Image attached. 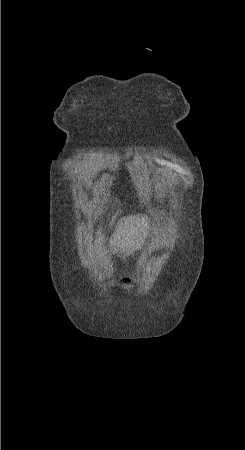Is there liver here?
I'll use <instances>...</instances> for the list:
<instances>
[{"instance_id":"1","label":"liver","mask_w":245,"mask_h":450,"mask_svg":"<svg viewBox=\"0 0 245 450\" xmlns=\"http://www.w3.org/2000/svg\"><path fill=\"white\" fill-rule=\"evenodd\" d=\"M148 229L146 216L131 215L119 220L110 238V248L113 254L120 252L124 257L132 254L140 248L143 239L147 236ZM98 235L99 239L95 240L96 248L104 237L101 232H98Z\"/></svg>"}]
</instances>
